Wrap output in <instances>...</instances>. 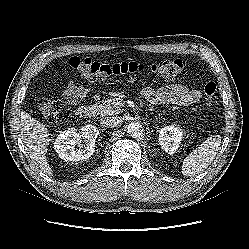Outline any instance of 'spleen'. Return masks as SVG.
Instances as JSON below:
<instances>
[{"label":"spleen","instance_id":"3e777b00","mask_svg":"<svg viewBox=\"0 0 249 249\" xmlns=\"http://www.w3.org/2000/svg\"><path fill=\"white\" fill-rule=\"evenodd\" d=\"M220 144V135L209 137L184 159L182 173L185 176H194L203 172L215 159Z\"/></svg>","mask_w":249,"mask_h":249}]
</instances>
